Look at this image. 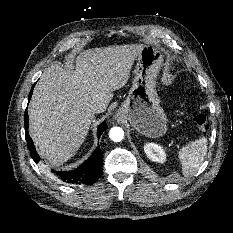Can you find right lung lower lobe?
<instances>
[{"instance_id": "right-lung-lower-lobe-1", "label": "right lung lower lobe", "mask_w": 233, "mask_h": 233, "mask_svg": "<svg viewBox=\"0 0 233 233\" xmlns=\"http://www.w3.org/2000/svg\"><path fill=\"white\" fill-rule=\"evenodd\" d=\"M34 87V86H33ZM33 87L29 93L28 102L31 98ZM28 124H29V117L27 111H25V135L27 146L30 151L32 159L38 163L40 161V157L37 154L33 141L28 134ZM107 125L106 123H102L98 127L97 137L99 138L102 133L106 130ZM102 150L98 146L92 155L77 169L66 172V171H53L58 178L61 180L71 183V184H93L101 175L102 173Z\"/></svg>"}]
</instances>
